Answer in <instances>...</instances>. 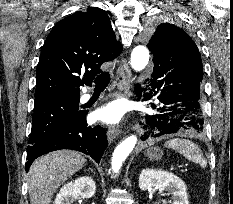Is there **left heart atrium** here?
I'll return each mask as SVG.
<instances>
[{"label": "left heart atrium", "instance_id": "obj_1", "mask_svg": "<svg viewBox=\"0 0 233 204\" xmlns=\"http://www.w3.org/2000/svg\"><path fill=\"white\" fill-rule=\"evenodd\" d=\"M124 114L122 103L113 101L93 113V119L106 124L118 123Z\"/></svg>", "mask_w": 233, "mask_h": 204}]
</instances>
